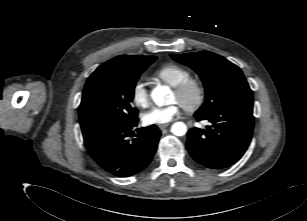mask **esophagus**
<instances>
[{
  "instance_id": "34e87169",
  "label": "esophagus",
  "mask_w": 307,
  "mask_h": 221,
  "mask_svg": "<svg viewBox=\"0 0 307 221\" xmlns=\"http://www.w3.org/2000/svg\"><path fill=\"white\" fill-rule=\"evenodd\" d=\"M170 125V123H166V124H162V125H158V127L163 130L164 128L168 127Z\"/></svg>"
}]
</instances>
